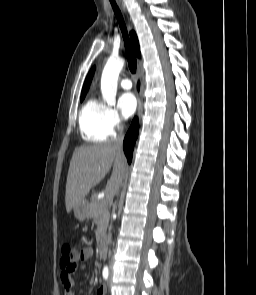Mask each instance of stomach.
<instances>
[{"instance_id":"obj_1","label":"stomach","mask_w":256,"mask_h":295,"mask_svg":"<svg viewBox=\"0 0 256 295\" xmlns=\"http://www.w3.org/2000/svg\"><path fill=\"white\" fill-rule=\"evenodd\" d=\"M74 217L79 221H84L88 216V203L84 201L73 208Z\"/></svg>"}]
</instances>
